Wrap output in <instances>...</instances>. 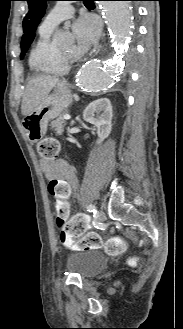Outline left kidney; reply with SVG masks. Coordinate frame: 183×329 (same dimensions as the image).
I'll return each instance as SVG.
<instances>
[{
    "label": "left kidney",
    "mask_w": 183,
    "mask_h": 329,
    "mask_svg": "<svg viewBox=\"0 0 183 329\" xmlns=\"http://www.w3.org/2000/svg\"><path fill=\"white\" fill-rule=\"evenodd\" d=\"M112 105L108 98H101L90 103L83 112V119L97 127V144L104 141L112 130Z\"/></svg>",
    "instance_id": "1"
}]
</instances>
